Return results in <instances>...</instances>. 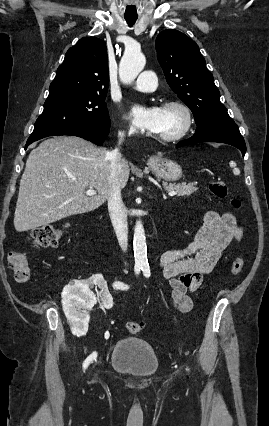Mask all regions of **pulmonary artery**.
Wrapping results in <instances>:
<instances>
[{"mask_svg": "<svg viewBox=\"0 0 269 426\" xmlns=\"http://www.w3.org/2000/svg\"><path fill=\"white\" fill-rule=\"evenodd\" d=\"M157 78L156 74L153 71H143L134 81L132 87L135 90L142 92H151L156 89Z\"/></svg>", "mask_w": 269, "mask_h": 426, "instance_id": "1", "label": "pulmonary artery"}]
</instances>
